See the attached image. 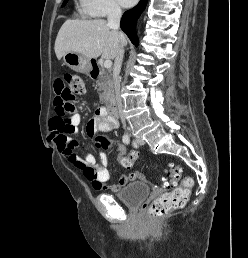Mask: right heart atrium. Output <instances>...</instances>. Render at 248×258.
Returning a JSON list of instances; mask_svg holds the SVG:
<instances>
[{
    "mask_svg": "<svg viewBox=\"0 0 248 258\" xmlns=\"http://www.w3.org/2000/svg\"><path fill=\"white\" fill-rule=\"evenodd\" d=\"M78 10L85 17L101 18L121 9L116 0H79Z\"/></svg>",
    "mask_w": 248,
    "mask_h": 258,
    "instance_id": "obj_1",
    "label": "right heart atrium"
}]
</instances>
